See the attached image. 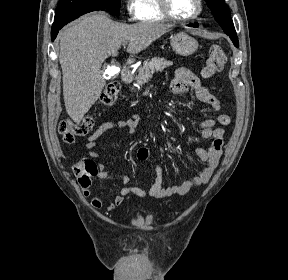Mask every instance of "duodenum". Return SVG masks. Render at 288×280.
Here are the masks:
<instances>
[{"label":"duodenum","mask_w":288,"mask_h":280,"mask_svg":"<svg viewBox=\"0 0 288 280\" xmlns=\"http://www.w3.org/2000/svg\"><path fill=\"white\" fill-rule=\"evenodd\" d=\"M133 72L132 70L125 65L121 71V79L124 83H129L132 79Z\"/></svg>","instance_id":"410a0bca"}]
</instances>
